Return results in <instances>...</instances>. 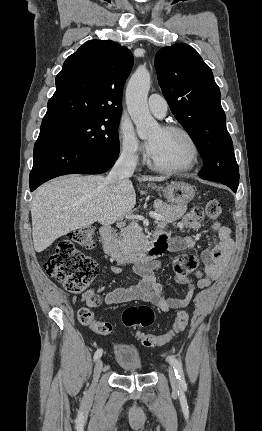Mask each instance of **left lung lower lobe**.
<instances>
[{"label":"left lung lower lobe","instance_id":"1","mask_svg":"<svg viewBox=\"0 0 262 431\" xmlns=\"http://www.w3.org/2000/svg\"><path fill=\"white\" fill-rule=\"evenodd\" d=\"M228 187L231 188L233 190V192H236L237 188H238V187H234V186H228Z\"/></svg>","mask_w":262,"mask_h":431}]
</instances>
